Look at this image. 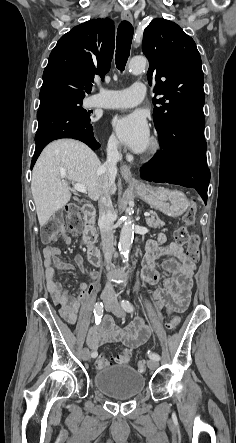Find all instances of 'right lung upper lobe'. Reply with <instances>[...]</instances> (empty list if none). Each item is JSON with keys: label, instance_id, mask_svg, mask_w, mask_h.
<instances>
[{"label": "right lung upper lobe", "instance_id": "cb5924a9", "mask_svg": "<svg viewBox=\"0 0 236 443\" xmlns=\"http://www.w3.org/2000/svg\"><path fill=\"white\" fill-rule=\"evenodd\" d=\"M114 51V24L109 18L93 19L72 28L52 50L43 72L40 100L56 94L85 96L94 76L104 78Z\"/></svg>", "mask_w": 236, "mask_h": 443}]
</instances>
